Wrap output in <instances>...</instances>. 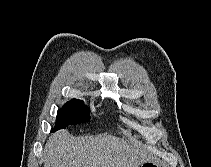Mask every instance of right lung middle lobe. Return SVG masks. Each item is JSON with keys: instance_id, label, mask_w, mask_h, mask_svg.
<instances>
[{"instance_id": "dd1d6c3e", "label": "right lung middle lobe", "mask_w": 211, "mask_h": 167, "mask_svg": "<svg viewBox=\"0 0 211 167\" xmlns=\"http://www.w3.org/2000/svg\"><path fill=\"white\" fill-rule=\"evenodd\" d=\"M89 112L90 108L84 106V102L81 100L73 99L67 102L62 109L58 110L54 130L90 120Z\"/></svg>"}]
</instances>
